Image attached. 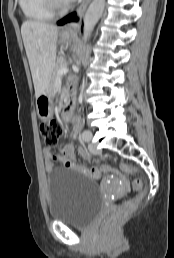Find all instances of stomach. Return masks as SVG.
<instances>
[{
  "instance_id": "0dacf381",
  "label": "stomach",
  "mask_w": 174,
  "mask_h": 258,
  "mask_svg": "<svg viewBox=\"0 0 174 258\" xmlns=\"http://www.w3.org/2000/svg\"><path fill=\"white\" fill-rule=\"evenodd\" d=\"M61 40L65 43H68L72 39L71 34L61 33ZM36 108L37 114L41 120H48L53 115V96L51 94L50 88H46V90L36 98Z\"/></svg>"
}]
</instances>
